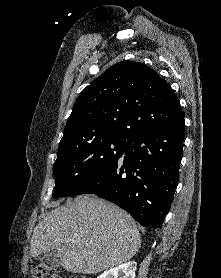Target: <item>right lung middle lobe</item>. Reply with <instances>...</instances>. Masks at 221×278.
Wrapping results in <instances>:
<instances>
[{
  "instance_id": "right-lung-middle-lobe-1",
  "label": "right lung middle lobe",
  "mask_w": 221,
  "mask_h": 278,
  "mask_svg": "<svg viewBox=\"0 0 221 278\" xmlns=\"http://www.w3.org/2000/svg\"><path fill=\"white\" fill-rule=\"evenodd\" d=\"M128 139L101 137L90 139L61 152L53 168L56 178L54 197L70 194L110 166L125 152Z\"/></svg>"
}]
</instances>
